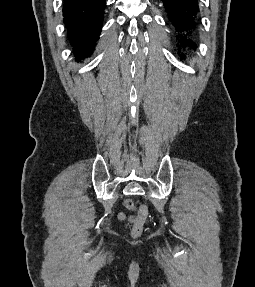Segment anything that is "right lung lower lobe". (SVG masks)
<instances>
[{
  "instance_id": "98d812e1",
  "label": "right lung lower lobe",
  "mask_w": 255,
  "mask_h": 287,
  "mask_svg": "<svg viewBox=\"0 0 255 287\" xmlns=\"http://www.w3.org/2000/svg\"><path fill=\"white\" fill-rule=\"evenodd\" d=\"M105 0H64L63 17L77 59L89 56L102 26Z\"/></svg>"
}]
</instances>
